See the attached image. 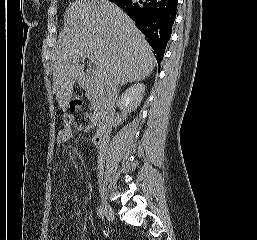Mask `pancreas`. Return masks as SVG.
Listing matches in <instances>:
<instances>
[{"mask_svg": "<svg viewBox=\"0 0 257 240\" xmlns=\"http://www.w3.org/2000/svg\"><path fill=\"white\" fill-rule=\"evenodd\" d=\"M86 96L90 100L91 108L98 116L105 114L107 108L106 97L100 89L93 86L86 87Z\"/></svg>", "mask_w": 257, "mask_h": 240, "instance_id": "obj_1", "label": "pancreas"}]
</instances>
